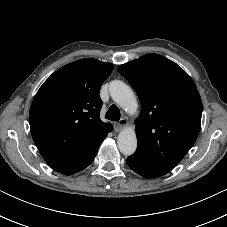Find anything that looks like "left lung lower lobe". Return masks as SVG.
Masks as SVG:
<instances>
[{
    "label": "left lung lower lobe",
    "mask_w": 227,
    "mask_h": 227,
    "mask_svg": "<svg viewBox=\"0 0 227 227\" xmlns=\"http://www.w3.org/2000/svg\"><path fill=\"white\" fill-rule=\"evenodd\" d=\"M127 164L133 171H135L139 175L151 179L163 176L172 169L169 167H163L150 163L135 155H132L129 158H127Z\"/></svg>",
    "instance_id": "left-lung-lower-lobe-1"
}]
</instances>
